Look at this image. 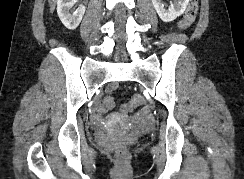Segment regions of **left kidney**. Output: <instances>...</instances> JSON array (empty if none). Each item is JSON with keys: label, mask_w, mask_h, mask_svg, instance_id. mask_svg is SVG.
Instances as JSON below:
<instances>
[{"label": "left kidney", "mask_w": 244, "mask_h": 179, "mask_svg": "<svg viewBox=\"0 0 244 179\" xmlns=\"http://www.w3.org/2000/svg\"><path fill=\"white\" fill-rule=\"evenodd\" d=\"M153 6L163 22H173L185 12L189 0H175L168 8H164L162 0H152Z\"/></svg>", "instance_id": "1"}]
</instances>
